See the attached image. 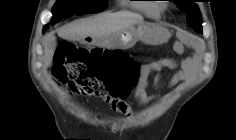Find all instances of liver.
<instances>
[{"label": "liver", "mask_w": 236, "mask_h": 140, "mask_svg": "<svg viewBox=\"0 0 236 140\" xmlns=\"http://www.w3.org/2000/svg\"><path fill=\"white\" fill-rule=\"evenodd\" d=\"M142 22V16L134 13H104L92 18L73 21L60 28L58 35L63 39L73 41H84L88 37L96 41L124 32ZM43 47V63L44 68H47L52 63L56 48V38L53 34H48L44 38Z\"/></svg>", "instance_id": "6515ba94"}]
</instances>
